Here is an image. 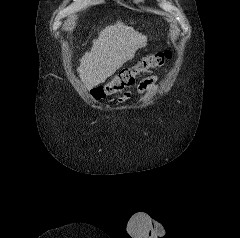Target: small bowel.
Here are the masks:
<instances>
[{
    "mask_svg": "<svg viewBox=\"0 0 240 238\" xmlns=\"http://www.w3.org/2000/svg\"><path fill=\"white\" fill-rule=\"evenodd\" d=\"M158 77L157 76H150L145 79H143L138 87H137V93L141 98H144L148 96L151 92L155 91L158 87L157 85ZM131 93L127 92L125 93L121 98V102H125L131 99Z\"/></svg>",
    "mask_w": 240,
    "mask_h": 238,
    "instance_id": "small-bowel-1",
    "label": "small bowel"
}]
</instances>
